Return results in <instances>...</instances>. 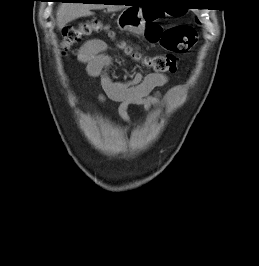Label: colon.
Wrapping results in <instances>:
<instances>
[{
	"instance_id": "colon-1",
	"label": "colon",
	"mask_w": 259,
	"mask_h": 266,
	"mask_svg": "<svg viewBox=\"0 0 259 266\" xmlns=\"http://www.w3.org/2000/svg\"><path fill=\"white\" fill-rule=\"evenodd\" d=\"M159 17H161L160 13L156 10L148 9L146 11V38L152 43L161 45L168 53L142 57L128 45L121 44V49L126 55L141 61L146 68L156 73H174L177 71L179 64L177 54L186 53L195 46L197 32L188 25H178L163 29L162 26L156 23ZM100 31H105L109 36L113 37L112 31L96 19L69 26L63 32L62 48L69 50L83 38Z\"/></svg>"
}]
</instances>
